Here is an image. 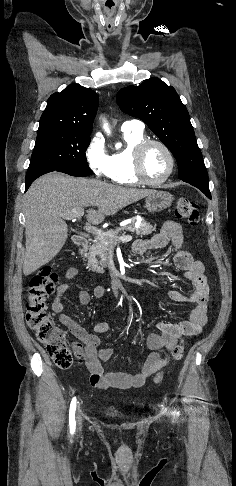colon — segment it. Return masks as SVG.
<instances>
[{
    "label": "colon",
    "instance_id": "colon-1",
    "mask_svg": "<svg viewBox=\"0 0 236 486\" xmlns=\"http://www.w3.org/2000/svg\"><path fill=\"white\" fill-rule=\"evenodd\" d=\"M175 217L191 225L199 222L197 204L187 198H180L175 207ZM58 282L57 274L50 266H43L34 274L29 282V291L26 298V320L37 339L46 346L53 362L61 368H68L73 362L72 350L69 347L65 334L57 328L48 312L47 299L54 293ZM184 341L171 350L172 359L177 361L183 357ZM163 372L155 377V382H161Z\"/></svg>",
    "mask_w": 236,
    "mask_h": 486
}]
</instances>
